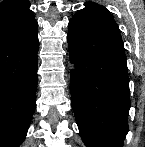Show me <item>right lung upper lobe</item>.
I'll return each mask as SVG.
<instances>
[{
	"mask_svg": "<svg viewBox=\"0 0 145 147\" xmlns=\"http://www.w3.org/2000/svg\"><path fill=\"white\" fill-rule=\"evenodd\" d=\"M29 7L27 0H5L0 3V40L37 24Z\"/></svg>",
	"mask_w": 145,
	"mask_h": 147,
	"instance_id": "cb5924a9",
	"label": "right lung upper lobe"
}]
</instances>
